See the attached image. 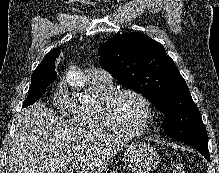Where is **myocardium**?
Listing matches in <instances>:
<instances>
[{"instance_id": "f54148a6", "label": "myocardium", "mask_w": 219, "mask_h": 173, "mask_svg": "<svg viewBox=\"0 0 219 173\" xmlns=\"http://www.w3.org/2000/svg\"><path fill=\"white\" fill-rule=\"evenodd\" d=\"M130 94L138 97L146 108V119L142 128L136 131H128L123 129L116 118L115 115V106L123 95ZM102 112L103 116L110 126V128L120 136L128 137V138H137L144 134H146L152 125L154 119V107L149 100V98L143 94L142 92L133 89V88H121L114 90L111 94H109L102 102Z\"/></svg>"}]
</instances>
